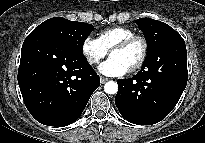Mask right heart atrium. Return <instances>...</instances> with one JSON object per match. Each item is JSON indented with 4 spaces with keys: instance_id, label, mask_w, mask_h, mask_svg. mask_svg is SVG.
<instances>
[{
    "instance_id": "d8ad5b80",
    "label": "right heart atrium",
    "mask_w": 205,
    "mask_h": 143,
    "mask_svg": "<svg viewBox=\"0 0 205 143\" xmlns=\"http://www.w3.org/2000/svg\"><path fill=\"white\" fill-rule=\"evenodd\" d=\"M82 53L86 60L94 65L99 63L108 54V50L101 44L98 38L87 36L82 43Z\"/></svg>"
}]
</instances>
